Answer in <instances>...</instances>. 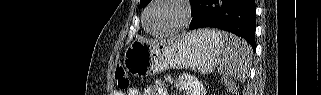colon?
<instances>
[{"mask_svg":"<svg viewBox=\"0 0 321 95\" xmlns=\"http://www.w3.org/2000/svg\"><path fill=\"white\" fill-rule=\"evenodd\" d=\"M115 79L120 89H126L129 86V77L127 71L122 66H117L115 69Z\"/></svg>","mask_w":321,"mask_h":95,"instance_id":"obj_1","label":"colon"}]
</instances>
